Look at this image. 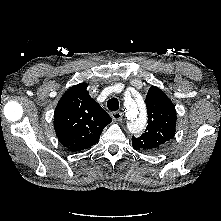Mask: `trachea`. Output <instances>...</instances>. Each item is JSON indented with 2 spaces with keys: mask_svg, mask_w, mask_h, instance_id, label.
I'll return each mask as SVG.
<instances>
[{
  "mask_svg": "<svg viewBox=\"0 0 221 221\" xmlns=\"http://www.w3.org/2000/svg\"><path fill=\"white\" fill-rule=\"evenodd\" d=\"M107 107L111 111H117L119 108V102L117 98H111L107 102Z\"/></svg>",
  "mask_w": 221,
  "mask_h": 221,
  "instance_id": "1",
  "label": "trachea"
}]
</instances>
